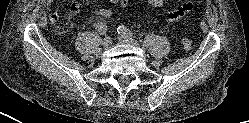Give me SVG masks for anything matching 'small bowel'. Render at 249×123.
<instances>
[{"label": "small bowel", "instance_id": "c3829d8e", "mask_svg": "<svg viewBox=\"0 0 249 123\" xmlns=\"http://www.w3.org/2000/svg\"><path fill=\"white\" fill-rule=\"evenodd\" d=\"M54 0H46V4L48 7V18L52 23H56L59 20V14L50 9V6ZM111 4L119 8H125L128 6L130 0H108ZM149 4L155 7H161L164 3V0H147ZM193 5L191 3H184L178 8L171 10L167 13V20L168 21H176L182 18L185 14L191 11ZM80 11V4L76 1L72 2L69 15L71 17L76 16ZM96 15L100 18H106L112 15L113 10L110 8H99L95 11ZM100 23V22H98ZM97 23V24H98ZM96 24V26H97Z\"/></svg>", "mask_w": 249, "mask_h": 123}]
</instances>
